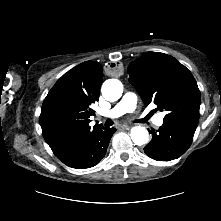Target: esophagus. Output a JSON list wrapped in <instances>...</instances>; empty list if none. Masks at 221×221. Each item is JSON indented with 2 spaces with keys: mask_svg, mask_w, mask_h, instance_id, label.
Listing matches in <instances>:
<instances>
[{
  "mask_svg": "<svg viewBox=\"0 0 221 221\" xmlns=\"http://www.w3.org/2000/svg\"><path fill=\"white\" fill-rule=\"evenodd\" d=\"M123 128L126 129V130L130 129V127L128 125H124Z\"/></svg>",
  "mask_w": 221,
  "mask_h": 221,
  "instance_id": "esophagus-1",
  "label": "esophagus"
}]
</instances>
